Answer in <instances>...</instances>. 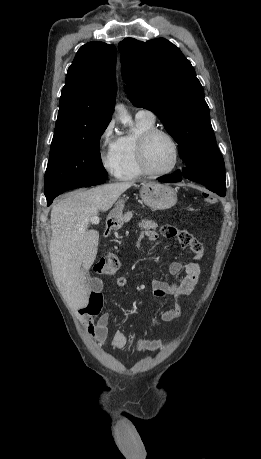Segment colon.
Listing matches in <instances>:
<instances>
[{
    "instance_id": "colon-1",
    "label": "colon",
    "mask_w": 261,
    "mask_h": 459,
    "mask_svg": "<svg viewBox=\"0 0 261 459\" xmlns=\"http://www.w3.org/2000/svg\"><path fill=\"white\" fill-rule=\"evenodd\" d=\"M202 195L207 203L213 204L216 202V197L211 195L209 188L202 190ZM164 236L169 237L173 234V229L170 226H163L161 229ZM120 267V261L114 254H109L106 257L100 258L94 265V271L100 275H112L118 271ZM103 295L101 293H93L91 300L86 308L83 309V313L88 316H96L100 313L103 307Z\"/></svg>"
}]
</instances>
